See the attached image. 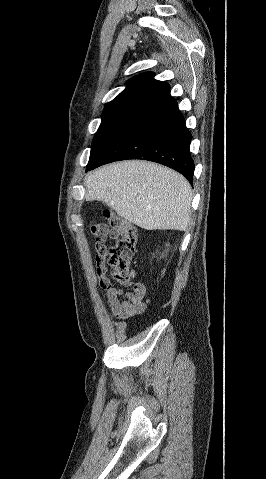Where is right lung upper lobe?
Returning a JSON list of instances; mask_svg holds the SVG:
<instances>
[{
	"instance_id": "right-lung-upper-lobe-1",
	"label": "right lung upper lobe",
	"mask_w": 266,
	"mask_h": 479,
	"mask_svg": "<svg viewBox=\"0 0 266 479\" xmlns=\"http://www.w3.org/2000/svg\"><path fill=\"white\" fill-rule=\"evenodd\" d=\"M127 88L108 103L103 114L114 112H140L157 99L170 93V86L154 79V73L146 72L131 78Z\"/></svg>"
}]
</instances>
